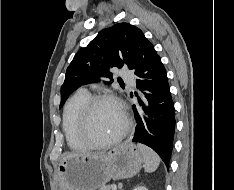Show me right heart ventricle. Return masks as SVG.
I'll list each match as a JSON object with an SVG mask.
<instances>
[{
	"instance_id": "1",
	"label": "right heart ventricle",
	"mask_w": 234,
	"mask_h": 190,
	"mask_svg": "<svg viewBox=\"0 0 234 190\" xmlns=\"http://www.w3.org/2000/svg\"><path fill=\"white\" fill-rule=\"evenodd\" d=\"M89 97L87 91L79 90L71 96L64 108L63 131L68 146L75 151H84L89 148L79 135L80 113Z\"/></svg>"
}]
</instances>
